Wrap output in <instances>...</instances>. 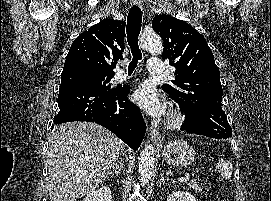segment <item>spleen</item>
<instances>
[{"label":"spleen","mask_w":271,"mask_h":201,"mask_svg":"<svg viewBox=\"0 0 271 201\" xmlns=\"http://www.w3.org/2000/svg\"><path fill=\"white\" fill-rule=\"evenodd\" d=\"M216 170H218L223 178L229 179L231 178L233 167L230 162L220 158L216 164Z\"/></svg>","instance_id":"3e777b00"}]
</instances>
